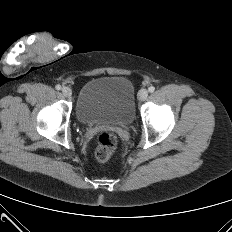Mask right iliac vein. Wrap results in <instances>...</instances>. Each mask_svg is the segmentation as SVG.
I'll use <instances>...</instances> for the list:
<instances>
[{
	"label": "right iliac vein",
	"mask_w": 232,
	"mask_h": 232,
	"mask_svg": "<svg viewBox=\"0 0 232 232\" xmlns=\"http://www.w3.org/2000/svg\"><path fill=\"white\" fill-rule=\"evenodd\" d=\"M61 91L65 97H70L72 95V90L69 87H63Z\"/></svg>",
	"instance_id": "63e3f726"
}]
</instances>
